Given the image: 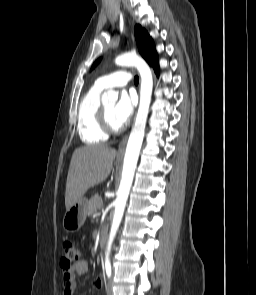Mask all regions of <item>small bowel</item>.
Returning a JSON list of instances; mask_svg holds the SVG:
<instances>
[{
    "instance_id": "obj_1",
    "label": "small bowel",
    "mask_w": 256,
    "mask_h": 295,
    "mask_svg": "<svg viewBox=\"0 0 256 295\" xmlns=\"http://www.w3.org/2000/svg\"><path fill=\"white\" fill-rule=\"evenodd\" d=\"M88 271V263L84 258L79 259L70 269H63L62 271V285L64 295H74L76 288V275L82 276ZM94 289H101L103 287V280L97 278L93 281Z\"/></svg>"
}]
</instances>
